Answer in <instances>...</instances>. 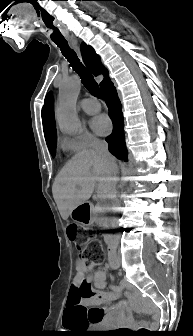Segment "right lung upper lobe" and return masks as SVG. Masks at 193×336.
Listing matches in <instances>:
<instances>
[{"mask_svg":"<svg viewBox=\"0 0 193 336\" xmlns=\"http://www.w3.org/2000/svg\"><path fill=\"white\" fill-rule=\"evenodd\" d=\"M81 52L85 64L94 75H99L102 73L104 74L105 78L100 84V88H102L105 82L108 80L109 73L107 69L102 66L99 56L95 53L94 49L91 46L82 43ZM42 122L45 139L46 142H48L56 137L53 98L51 94H48L45 98V103L42 108Z\"/></svg>","mask_w":193,"mask_h":336,"instance_id":"right-lung-upper-lobe-1","label":"right lung upper lobe"}]
</instances>
